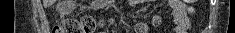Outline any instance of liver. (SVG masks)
I'll return each instance as SVG.
<instances>
[{
    "instance_id": "obj_1",
    "label": "liver",
    "mask_w": 235,
    "mask_h": 33,
    "mask_svg": "<svg viewBox=\"0 0 235 33\" xmlns=\"http://www.w3.org/2000/svg\"><path fill=\"white\" fill-rule=\"evenodd\" d=\"M56 0H43V5L45 8L51 6L52 4L55 3Z\"/></svg>"
}]
</instances>
